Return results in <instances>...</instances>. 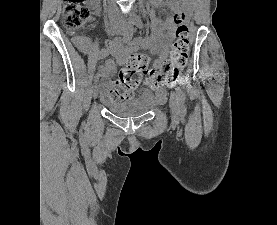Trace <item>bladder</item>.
<instances>
[{"label": "bladder", "instance_id": "bladder-1", "mask_svg": "<svg viewBox=\"0 0 277 225\" xmlns=\"http://www.w3.org/2000/svg\"><path fill=\"white\" fill-rule=\"evenodd\" d=\"M158 104L159 102L154 98L151 91L144 90L134 99L106 103V108L116 116L137 117L150 112Z\"/></svg>", "mask_w": 277, "mask_h": 225}]
</instances>
